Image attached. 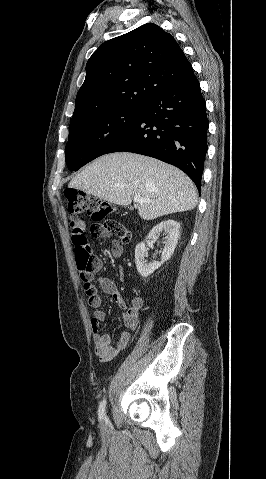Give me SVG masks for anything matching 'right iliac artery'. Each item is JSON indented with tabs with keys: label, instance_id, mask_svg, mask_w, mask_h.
<instances>
[{
	"label": "right iliac artery",
	"instance_id": "1",
	"mask_svg": "<svg viewBox=\"0 0 266 479\" xmlns=\"http://www.w3.org/2000/svg\"><path fill=\"white\" fill-rule=\"evenodd\" d=\"M105 407H106V399H103L99 405V409H98V416H99V420H103L106 418V415H105Z\"/></svg>",
	"mask_w": 266,
	"mask_h": 479
}]
</instances>
